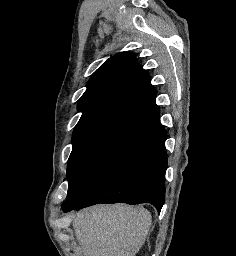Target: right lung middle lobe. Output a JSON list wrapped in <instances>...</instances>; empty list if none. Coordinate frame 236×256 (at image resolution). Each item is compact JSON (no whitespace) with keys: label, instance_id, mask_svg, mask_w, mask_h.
<instances>
[{"label":"right lung middle lobe","instance_id":"dd1d6c3e","mask_svg":"<svg viewBox=\"0 0 236 256\" xmlns=\"http://www.w3.org/2000/svg\"><path fill=\"white\" fill-rule=\"evenodd\" d=\"M152 126L123 115H108L77 124L67 165L65 201L73 197L101 165Z\"/></svg>","mask_w":236,"mask_h":256}]
</instances>
